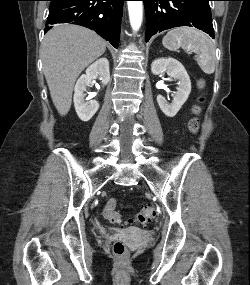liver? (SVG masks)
<instances>
[{
    "instance_id": "liver-1",
    "label": "liver",
    "mask_w": 250,
    "mask_h": 285,
    "mask_svg": "<svg viewBox=\"0 0 250 285\" xmlns=\"http://www.w3.org/2000/svg\"><path fill=\"white\" fill-rule=\"evenodd\" d=\"M105 50L106 42L100 36L77 25H56L45 35L41 47L43 71L61 116L70 110L76 79Z\"/></svg>"
}]
</instances>
